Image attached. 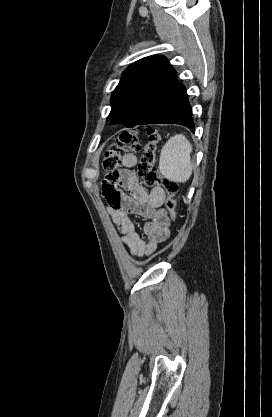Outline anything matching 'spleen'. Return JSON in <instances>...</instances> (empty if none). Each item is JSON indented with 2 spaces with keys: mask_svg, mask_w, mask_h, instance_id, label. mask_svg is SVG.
Here are the masks:
<instances>
[{
  "mask_svg": "<svg viewBox=\"0 0 272 417\" xmlns=\"http://www.w3.org/2000/svg\"><path fill=\"white\" fill-rule=\"evenodd\" d=\"M191 152L192 145L183 134L171 137L160 154L159 170L162 175L176 183L186 182L192 174Z\"/></svg>",
  "mask_w": 272,
  "mask_h": 417,
  "instance_id": "obj_1",
  "label": "spleen"
}]
</instances>
